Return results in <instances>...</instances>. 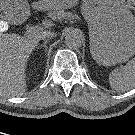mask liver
Masks as SVG:
<instances>
[{
	"instance_id": "1",
	"label": "liver",
	"mask_w": 135,
	"mask_h": 135,
	"mask_svg": "<svg viewBox=\"0 0 135 135\" xmlns=\"http://www.w3.org/2000/svg\"><path fill=\"white\" fill-rule=\"evenodd\" d=\"M5 27L0 21V96L18 97L26 91V64L41 32L21 36L3 33Z\"/></svg>"
}]
</instances>
